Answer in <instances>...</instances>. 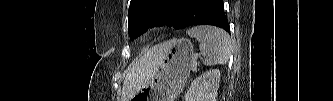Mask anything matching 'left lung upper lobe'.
<instances>
[{
  "label": "left lung upper lobe",
  "mask_w": 333,
  "mask_h": 101,
  "mask_svg": "<svg viewBox=\"0 0 333 101\" xmlns=\"http://www.w3.org/2000/svg\"><path fill=\"white\" fill-rule=\"evenodd\" d=\"M183 10L181 0H131L128 11L130 39L133 40L153 24H167L178 29Z\"/></svg>",
  "instance_id": "1"
}]
</instances>
